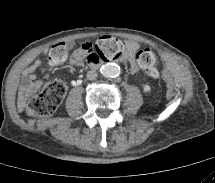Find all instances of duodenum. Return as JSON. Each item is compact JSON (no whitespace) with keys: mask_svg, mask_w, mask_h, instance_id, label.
<instances>
[{"mask_svg":"<svg viewBox=\"0 0 215 183\" xmlns=\"http://www.w3.org/2000/svg\"><path fill=\"white\" fill-rule=\"evenodd\" d=\"M92 65H93L94 67H97V66L100 65V63H99V62H94Z\"/></svg>","mask_w":215,"mask_h":183,"instance_id":"obj_1","label":"duodenum"}]
</instances>
